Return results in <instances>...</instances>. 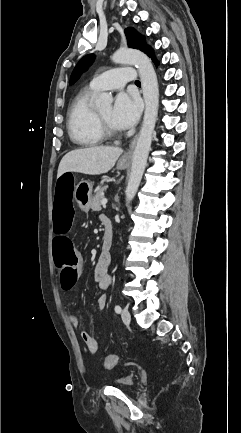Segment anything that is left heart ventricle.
I'll return each instance as SVG.
<instances>
[{"mask_svg":"<svg viewBox=\"0 0 241 433\" xmlns=\"http://www.w3.org/2000/svg\"><path fill=\"white\" fill-rule=\"evenodd\" d=\"M111 112H112V108L111 106H107L104 107L100 110H98V113L100 114V116L105 120V122L113 129L117 128L113 125L112 121H111Z\"/></svg>","mask_w":241,"mask_h":433,"instance_id":"left-heart-ventricle-1","label":"left heart ventricle"}]
</instances>
